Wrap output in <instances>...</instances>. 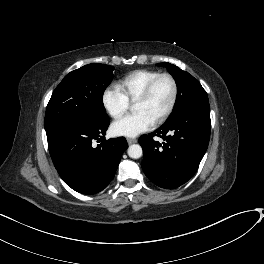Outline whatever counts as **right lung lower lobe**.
<instances>
[{
	"label": "right lung lower lobe",
	"mask_w": 264,
	"mask_h": 264,
	"mask_svg": "<svg viewBox=\"0 0 264 264\" xmlns=\"http://www.w3.org/2000/svg\"><path fill=\"white\" fill-rule=\"evenodd\" d=\"M109 119L92 124L64 123L46 128L49 152L60 177L83 194L102 191L114 178L122 153L128 148L124 137L101 141Z\"/></svg>",
	"instance_id": "right-lung-lower-lobe-1"
}]
</instances>
